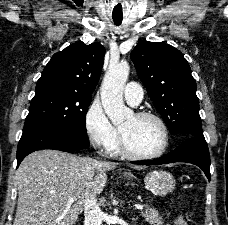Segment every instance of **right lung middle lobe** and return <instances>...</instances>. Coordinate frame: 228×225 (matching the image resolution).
<instances>
[{
  "label": "right lung middle lobe",
  "instance_id": "1",
  "mask_svg": "<svg viewBox=\"0 0 228 225\" xmlns=\"http://www.w3.org/2000/svg\"><path fill=\"white\" fill-rule=\"evenodd\" d=\"M35 92L25 125L56 123L87 133L85 120L90 94L60 85L36 86Z\"/></svg>",
  "mask_w": 228,
  "mask_h": 225
}]
</instances>
